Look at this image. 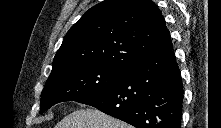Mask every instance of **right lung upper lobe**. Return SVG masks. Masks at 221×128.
I'll use <instances>...</instances> for the list:
<instances>
[{
    "mask_svg": "<svg viewBox=\"0 0 221 128\" xmlns=\"http://www.w3.org/2000/svg\"><path fill=\"white\" fill-rule=\"evenodd\" d=\"M173 49L165 20L151 0H105L67 32L53 60L61 68L100 65L128 70Z\"/></svg>",
    "mask_w": 221,
    "mask_h": 128,
    "instance_id": "cb5924a9",
    "label": "right lung upper lobe"
}]
</instances>
